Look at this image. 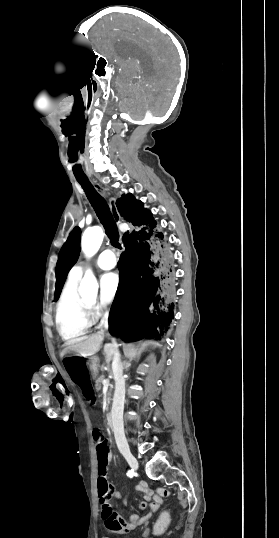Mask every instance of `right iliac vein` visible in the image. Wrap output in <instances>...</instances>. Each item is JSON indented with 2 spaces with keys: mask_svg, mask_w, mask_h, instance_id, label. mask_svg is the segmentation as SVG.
Segmentation results:
<instances>
[{
  "mask_svg": "<svg viewBox=\"0 0 279 538\" xmlns=\"http://www.w3.org/2000/svg\"><path fill=\"white\" fill-rule=\"evenodd\" d=\"M124 457H125V459L127 460L128 464L130 465V467H131L133 470H137V469H138V462H137L136 458H135L130 452H126V453H124Z\"/></svg>",
  "mask_w": 279,
  "mask_h": 538,
  "instance_id": "right-iliac-vein-1",
  "label": "right iliac vein"
}]
</instances>
